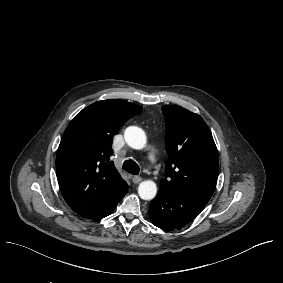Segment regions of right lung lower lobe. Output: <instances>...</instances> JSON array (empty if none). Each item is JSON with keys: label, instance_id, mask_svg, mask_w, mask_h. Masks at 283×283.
Returning <instances> with one entry per match:
<instances>
[{"label": "right lung lower lobe", "instance_id": "98d812e1", "mask_svg": "<svg viewBox=\"0 0 283 283\" xmlns=\"http://www.w3.org/2000/svg\"><path fill=\"white\" fill-rule=\"evenodd\" d=\"M127 191H128V190H127ZM116 206H117V205H116ZM116 206H115V207H116ZM115 207H114L112 210H110L109 212L103 214L101 217H99V218H97V219H100V218H103V217H106V216L110 215V214L113 212V210L115 209Z\"/></svg>", "mask_w": 283, "mask_h": 283}]
</instances>
